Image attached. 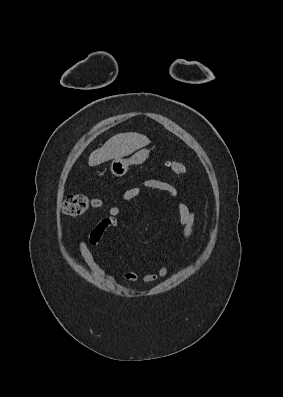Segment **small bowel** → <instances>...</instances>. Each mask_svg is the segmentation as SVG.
Returning a JSON list of instances; mask_svg holds the SVG:
<instances>
[{"mask_svg": "<svg viewBox=\"0 0 283 397\" xmlns=\"http://www.w3.org/2000/svg\"><path fill=\"white\" fill-rule=\"evenodd\" d=\"M151 188L161 191L168 192L174 198L178 197L177 189L168 182L160 180H146L141 183V185L133 186L129 188L123 194L124 201H130L142 192V188ZM178 211H179V225L183 229V236L186 243L191 239L194 231L195 214L185 203L178 201ZM121 214V209L117 206H112L109 209L108 216L102 218L90 231L88 237V243L83 240H79L77 247L78 251L86 263V265L93 271L96 275L102 279L108 281L111 284H115L116 280L113 276L107 274L96 262L89 246H97L102 240L104 233L109 230L116 228L118 226V217ZM168 274V269L166 267H159L154 272L147 273L143 276H139L133 271H124L122 277L128 282H137L142 280L145 283H154L158 279L165 277Z\"/></svg>", "mask_w": 283, "mask_h": 397, "instance_id": "small-bowel-1", "label": "small bowel"}]
</instances>
